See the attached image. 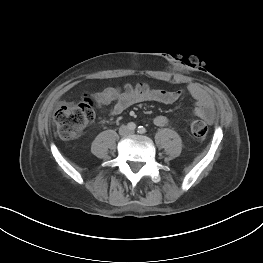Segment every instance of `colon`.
<instances>
[{
    "instance_id": "5ec220e1",
    "label": "colon",
    "mask_w": 263,
    "mask_h": 263,
    "mask_svg": "<svg viewBox=\"0 0 263 263\" xmlns=\"http://www.w3.org/2000/svg\"><path fill=\"white\" fill-rule=\"evenodd\" d=\"M126 90L139 95L150 91L149 87L144 83L128 85ZM94 117L93 104L89 99L61 106L54 114L57 135L65 140L74 139L93 121ZM190 130L192 135L198 140H204L208 135V127L200 119L191 120Z\"/></svg>"
}]
</instances>
